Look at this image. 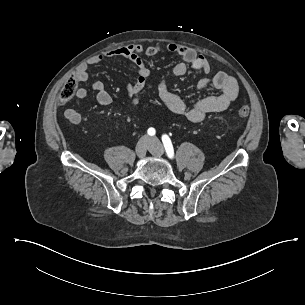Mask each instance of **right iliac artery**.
Segmentation results:
<instances>
[{"instance_id":"1","label":"right iliac artery","mask_w":305,"mask_h":305,"mask_svg":"<svg viewBox=\"0 0 305 305\" xmlns=\"http://www.w3.org/2000/svg\"><path fill=\"white\" fill-rule=\"evenodd\" d=\"M147 132H148V134H149L150 136L155 135V129H154V128H152V127H151V128H149Z\"/></svg>"}]
</instances>
